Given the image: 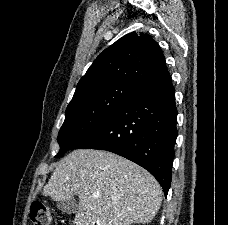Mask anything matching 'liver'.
Listing matches in <instances>:
<instances>
[{
	"instance_id": "liver-1",
	"label": "liver",
	"mask_w": 228,
	"mask_h": 225,
	"mask_svg": "<svg viewBox=\"0 0 228 225\" xmlns=\"http://www.w3.org/2000/svg\"><path fill=\"white\" fill-rule=\"evenodd\" d=\"M42 195L53 201L77 195L75 225H148L163 193L148 171L124 157L77 149L58 163Z\"/></svg>"
}]
</instances>
